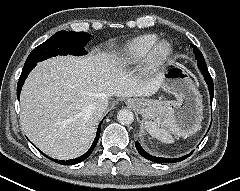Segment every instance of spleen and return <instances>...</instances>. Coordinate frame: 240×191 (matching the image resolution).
<instances>
[{"label": "spleen", "instance_id": "obj_1", "mask_svg": "<svg viewBox=\"0 0 240 191\" xmlns=\"http://www.w3.org/2000/svg\"><path fill=\"white\" fill-rule=\"evenodd\" d=\"M145 125H146L145 127H146L148 133L152 137H154L164 143H168V144L174 143V139H173L171 133L174 135L184 136V137H188L190 135V134L181 135L174 128V125L171 123L170 118H168L166 116L164 117L162 115H159L156 118L146 121Z\"/></svg>", "mask_w": 240, "mask_h": 191}]
</instances>
